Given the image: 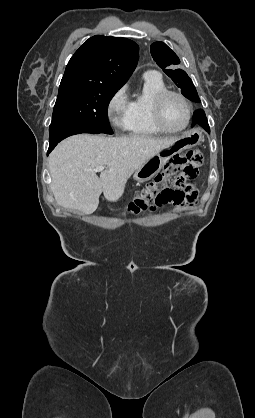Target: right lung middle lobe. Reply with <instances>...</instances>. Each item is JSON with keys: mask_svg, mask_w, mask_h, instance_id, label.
Masks as SVG:
<instances>
[{"mask_svg": "<svg viewBox=\"0 0 255 418\" xmlns=\"http://www.w3.org/2000/svg\"><path fill=\"white\" fill-rule=\"evenodd\" d=\"M119 88L82 84L60 85L49 132L69 127L113 134L108 105Z\"/></svg>", "mask_w": 255, "mask_h": 418, "instance_id": "obj_1", "label": "right lung middle lobe"}]
</instances>
